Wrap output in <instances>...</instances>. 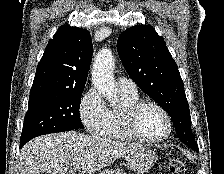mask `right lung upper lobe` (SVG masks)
Listing matches in <instances>:
<instances>
[{
    "label": "right lung upper lobe",
    "instance_id": "cb5924a9",
    "mask_svg": "<svg viewBox=\"0 0 224 174\" xmlns=\"http://www.w3.org/2000/svg\"><path fill=\"white\" fill-rule=\"evenodd\" d=\"M92 49L87 30L61 26L37 66L30 96L83 92Z\"/></svg>",
    "mask_w": 224,
    "mask_h": 174
}]
</instances>
